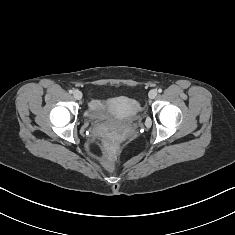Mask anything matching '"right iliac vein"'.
I'll return each mask as SVG.
<instances>
[{
    "label": "right iliac vein",
    "mask_w": 235,
    "mask_h": 235,
    "mask_svg": "<svg viewBox=\"0 0 235 235\" xmlns=\"http://www.w3.org/2000/svg\"><path fill=\"white\" fill-rule=\"evenodd\" d=\"M75 99L80 100L82 98V93L79 90L73 92Z\"/></svg>",
    "instance_id": "obj_1"
}]
</instances>
